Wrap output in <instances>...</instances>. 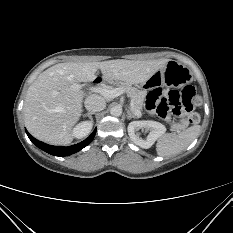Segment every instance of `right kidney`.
<instances>
[{
  "label": "right kidney",
  "mask_w": 233,
  "mask_h": 233,
  "mask_svg": "<svg viewBox=\"0 0 233 233\" xmlns=\"http://www.w3.org/2000/svg\"><path fill=\"white\" fill-rule=\"evenodd\" d=\"M93 126V121H83L73 129V137L83 138L89 134Z\"/></svg>",
  "instance_id": "1"
}]
</instances>
